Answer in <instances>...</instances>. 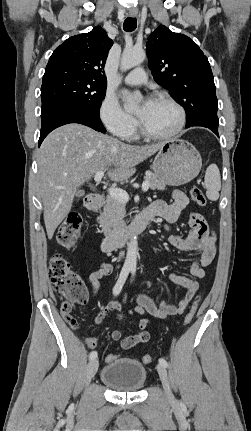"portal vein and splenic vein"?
<instances>
[{"instance_id": "18ae733b", "label": "portal vein and splenic vein", "mask_w": 251, "mask_h": 431, "mask_svg": "<svg viewBox=\"0 0 251 431\" xmlns=\"http://www.w3.org/2000/svg\"><path fill=\"white\" fill-rule=\"evenodd\" d=\"M104 176V172L103 171H99L95 174L94 180L96 183H100L102 180V177ZM149 188V181L145 180L142 183V190L145 192L147 191ZM108 193L111 197H113L114 199L118 200L121 203H127L129 201V195L128 193L120 188H109L108 189Z\"/></svg>"}]
</instances>
